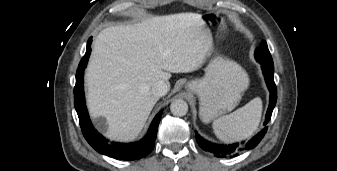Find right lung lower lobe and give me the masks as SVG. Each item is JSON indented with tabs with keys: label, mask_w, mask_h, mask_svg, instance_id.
<instances>
[{
	"label": "right lung lower lobe",
	"mask_w": 337,
	"mask_h": 171,
	"mask_svg": "<svg viewBox=\"0 0 337 171\" xmlns=\"http://www.w3.org/2000/svg\"><path fill=\"white\" fill-rule=\"evenodd\" d=\"M91 42L90 38L87 43L86 53L81 59L77 73H76V85L74 88V104L77 111L80 126L85 139L88 143L99 153L107 155L117 160H136L146 157L154 148L155 139L157 136V130L159 121L162 116V111H160L154 118L150 129L143 140L136 143H109L102 135H100L92 126L89 119L87 109L84 100L83 91V74L86 64L88 62L90 52H91Z\"/></svg>",
	"instance_id": "1"
}]
</instances>
